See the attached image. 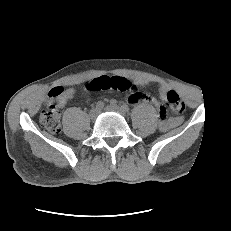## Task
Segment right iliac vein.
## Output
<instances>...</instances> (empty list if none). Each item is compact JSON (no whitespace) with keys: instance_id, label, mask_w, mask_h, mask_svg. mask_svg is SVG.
Returning a JSON list of instances; mask_svg holds the SVG:
<instances>
[{"instance_id":"obj_1","label":"right iliac vein","mask_w":231,"mask_h":231,"mask_svg":"<svg viewBox=\"0 0 231 231\" xmlns=\"http://www.w3.org/2000/svg\"><path fill=\"white\" fill-rule=\"evenodd\" d=\"M99 113H100V111L98 109L94 108L90 111L89 116L92 120H95L98 117Z\"/></svg>"}]
</instances>
